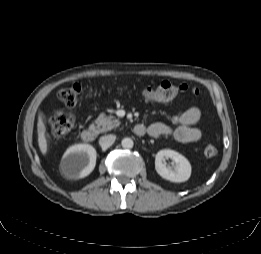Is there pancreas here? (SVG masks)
<instances>
[{"mask_svg": "<svg viewBox=\"0 0 261 254\" xmlns=\"http://www.w3.org/2000/svg\"><path fill=\"white\" fill-rule=\"evenodd\" d=\"M119 126V120L115 119L113 116H105L104 114H100L98 118L95 120V125L92 124L94 131L96 133L107 132Z\"/></svg>", "mask_w": 261, "mask_h": 254, "instance_id": "obj_1", "label": "pancreas"}]
</instances>
